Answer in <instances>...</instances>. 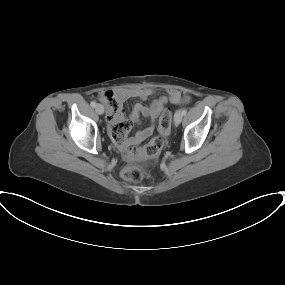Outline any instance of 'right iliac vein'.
Instances as JSON below:
<instances>
[{"mask_svg":"<svg viewBox=\"0 0 285 285\" xmlns=\"http://www.w3.org/2000/svg\"><path fill=\"white\" fill-rule=\"evenodd\" d=\"M95 111L99 114L102 115L104 113V107L100 104L95 106Z\"/></svg>","mask_w":285,"mask_h":285,"instance_id":"obj_1","label":"right iliac vein"}]
</instances>
